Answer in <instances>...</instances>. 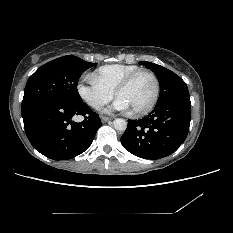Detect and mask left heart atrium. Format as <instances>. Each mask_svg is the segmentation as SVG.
I'll list each match as a JSON object with an SVG mask.
<instances>
[{
  "label": "left heart atrium",
  "instance_id": "1",
  "mask_svg": "<svg viewBox=\"0 0 233 233\" xmlns=\"http://www.w3.org/2000/svg\"><path fill=\"white\" fill-rule=\"evenodd\" d=\"M129 107L127 104L120 98H116L112 105L105 109L106 113H113L115 111H127Z\"/></svg>",
  "mask_w": 233,
  "mask_h": 233
}]
</instances>
